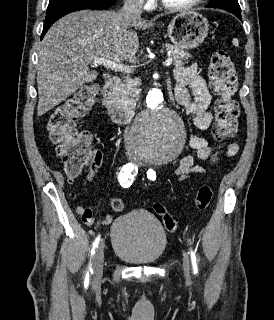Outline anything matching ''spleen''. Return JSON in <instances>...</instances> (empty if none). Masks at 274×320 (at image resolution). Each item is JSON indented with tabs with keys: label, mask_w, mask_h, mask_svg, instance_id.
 Listing matches in <instances>:
<instances>
[{
	"label": "spleen",
	"mask_w": 274,
	"mask_h": 320,
	"mask_svg": "<svg viewBox=\"0 0 274 320\" xmlns=\"http://www.w3.org/2000/svg\"><path fill=\"white\" fill-rule=\"evenodd\" d=\"M234 46H239L238 40H234Z\"/></svg>",
	"instance_id": "1"
}]
</instances>
